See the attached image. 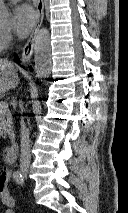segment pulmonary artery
I'll return each mask as SVG.
<instances>
[{
	"instance_id": "pulmonary-artery-1",
	"label": "pulmonary artery",
	"mask_w": 128,
	"mask_h": 213,
	"mask_svg": "<svg viewBox=\"0 0 128 213\" xmlns=\"http://www.w3.org/2000/svg\"><path fill=\"white\" fill-rule=\"evenodd\" d=\"M11 1H13V2H17V1H19V0H11Z\"/></svg>"
}]
</instances>
